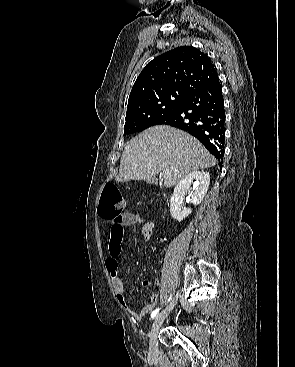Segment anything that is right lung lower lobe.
Returning a JSON list of instances; mask_svg holds the SVG:
<instances>
[{"mask_svg": "<svg viewBox=\"0 0 295 367\" xmlns=\"http://www.w3.org/2000/svg\"><path fill=\"white\" fill-rule=\"evenodd\" d=\"M224 100L219 78L190 94L174 112L154 125H170L196 137L219 161L224 155Z\"/></svg>", "mask_w": 295, "mask_h": 367, "instance_id": "right-lung-lower-lobe-1", "label": "right lung lower lobe"}]
</instances>
